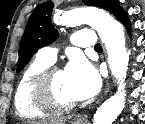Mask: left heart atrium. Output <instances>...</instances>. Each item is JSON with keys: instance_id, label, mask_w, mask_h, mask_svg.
Returning <instances> with one entry per match:
<instances>
[{"instance_id": "obj_1", "label": "left heart atrium", "mask_w": 145, "mask_h": 124, "mask_svg": "<svg viewBox=\"0 0 145 124\" xmlns=\"http://www.w3.org/2000/svg\"><path fill=\"white\" fill-rule=\"evenodd\" d=\"M65 77L76 100L92 97L100 88L98 72L85 58L74 56L65 69Z\"/></svg>"}]
</instances>
